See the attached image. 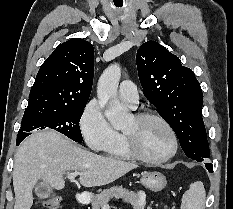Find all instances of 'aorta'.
I'll return each mask as SVG.
<instances>
[{
    "mask_svg": "<svg viewBox=\"0 0 233 209\" xmlns=\"http://www.w3.org/2000/svg\"><path fill=\"white\" fill-rule=\"evenodd\" d=\"M120 77V66L112 64L104 70L97 85L99 104L112 127L118 130L124 128L131 120L130 112L117 97Z\"/></svg>",
    "mask_w": 233,
    "mask_h": 209,
    "instance_id": "obj_1",
    "label": "aorta"
}]
</instances>
